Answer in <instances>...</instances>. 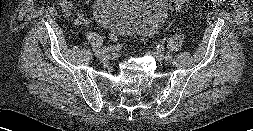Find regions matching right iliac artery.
I'll return each mask as SVG.
<instances>
[{"label": "right iliac artery", "instance_id": "82829eb1", "mask_svg": "<svg viewBox=\"0 0 253 131\" xmlns=\"http://www.w3.org/2000/svg\"><path fill=\"white\" fill-rule=\"evenodd\" d=\"M118 48H119V46H110V47H108V48H102V49H96L95 51H94V54L96 55V56H100V55H103V54H105L106 52H110V51H115V50H118Z\"/></svg>", "mask_w": 253, "mask_h": 131}]
</instances>
